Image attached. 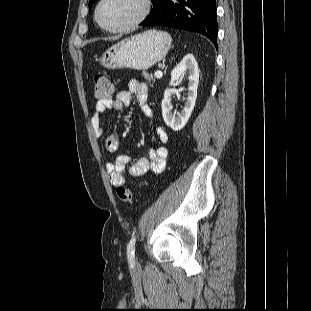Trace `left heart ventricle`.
<instances>
[{
    "label": "left heart ventricle",
    "mask_w": 311,
    "mask_h": 311,
    "mask_svg": "<svg viewBox=\"0 0 311 311\" xmlns=\"http://www.w3.org/2000/svg\"><path fill=\"white\" fill-rule=\"evenodd\" d=\"M136 0H105L101 5L99 17L109 27H120L130 22L138 13Z\"/></svg>",
    "instance_id": "1"
}]
</instances>
